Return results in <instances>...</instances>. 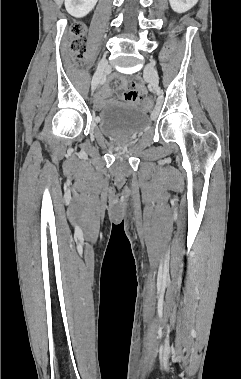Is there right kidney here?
<instances>
[{
    "mask_svg": "<svg viewBox=\"0 0 241 379\" xmlns=\"http://www.w3.org/2000/svg\"><path fill=\"white\" fill-rule=\"evenodd\" d=\"M98 0H65L67 12L77 18L86 16L96 5Z\"/></svg>",
    "mask_w": 241,
    "mask_h": 379,
    "instance_id": "ca27d5eb",
    "label": "right kidney"
}]
</instances>
